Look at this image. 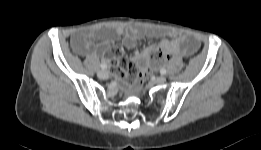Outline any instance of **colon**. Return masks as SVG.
<instances>
[{"instance_id":"1","label":"colon","mask_w":261,"mask_h":150,"mask_svg":"<svg viewBox=\"0 0 261 150\" xmlns=\"http://www.w3.org/2000/svg\"><path fill=\"white\" fill-rule=\"evenodd\" d=\"M170 58V53L165 49L162 44L156 45L148 50L146 62L140 69L141 76L137 79L142 82L148 74L149 69H156Z\"/></svg>"}]
</instances>
